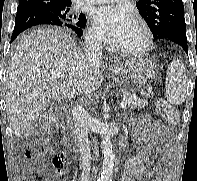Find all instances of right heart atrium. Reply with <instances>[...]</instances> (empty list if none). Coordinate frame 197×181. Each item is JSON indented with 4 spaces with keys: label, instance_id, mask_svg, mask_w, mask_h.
<instances>
[{
    "label": "right heart atrium",
    "instance_id": "d8ad5b80",
    "mask_svg": "<svg viewBox=\"0 0 197 181\" xmlns=\"http://www.w3.org/2000/svg\"><path fill=\"white\" fill-rule=\"evenodd\" d=\"M88 40L91 44L102 47L106 43L105 37L102 35V33L94 26L90 27L88 29L87 33Z\"/></svg>",
    "mask_w": 197,
    "mask_h": 181
}]
</instances>
